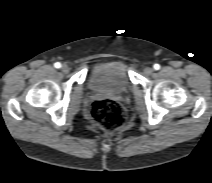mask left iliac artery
I'll return each instance as SVG.
<instances>
[{
    "instance_id": "obj_1",
    "label": "left iliac artery",
    "mask_w": 212,
    "mask_h": 183,
    "mask_svg": "<svg viewBox=\"0 0 212 183\" xmlns=\"http://www.w3.org/2000/svg\"><path fill=\"white\" fill-rule=\"evenodd\" d=\"M153 68H154L155 70H159V69H160V65H159V64H154Z\"/></svg>"
}]
</instances>
